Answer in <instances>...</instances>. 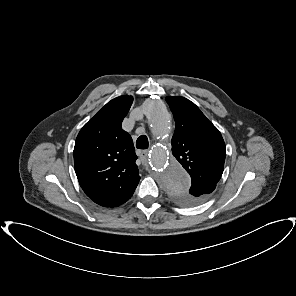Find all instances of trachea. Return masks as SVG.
Masks as SVG:
<instances>
[{
	"instance_id": "obj_1",
	"label": "trachea",
	"mask_w": 296,
	"mask_h": 296,
	"mask_svg": "<svg viewBox=\"0 0 296 296\" xmlns=\"http://www.w3.org/2000/svg\"><path fill=\"white\" fill-rule=\"evenodd\" d=\"M149 146V142H148V138L145 135H141L138 137L137 141H136V147L138 149H147Z\"/></svg>"
}]
</instances>
